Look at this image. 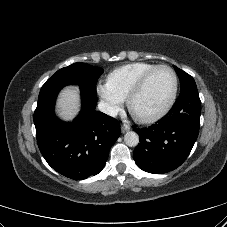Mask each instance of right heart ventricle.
Wrapping results in <instances>:
<instances>
[{"label":"right heart ventricle","instance_id":"right-heart-ventricle-1","mask_svg":"<svg viewBox=\"0 0 227 227\" xmlns=\"http://www.w3.org/2000/svg\"><path fill=\"white\" fill-rule=\"evenodd\" d=\"M155 66L156 64L147 62L122 65L108 74L107 84L115 94L125 100L138 79Z\"/></svg>","mask_w":227,"mask_h":227}]
</instances>
